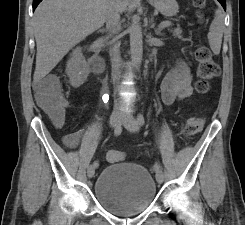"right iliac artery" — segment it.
<instances>
[{
    "mask_svg": "<svg viewBox=\"0 0 245 225\" xmlns=\"http://www.w3.org/2000/svg\"><path fill=\"white\" fill-rule=\"evenodd\" d=\"M103 101H104V98H103ZM107 101H108V99H107ZM121 132H122V127H121V125L119 124L118 126H116V128H115V130H114V135H115V136H118V135L121 134ZM93 166H94V167H98V166H99V162H98V161H94Z\"/></svg>",
    "mask_w": 245,
    "mask_h": 225,
    "instance_id": "1",
    "label": "right iliac artery"
}]
</instances>
